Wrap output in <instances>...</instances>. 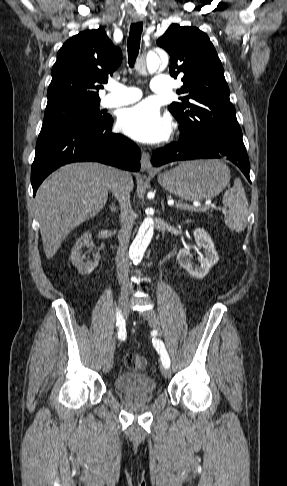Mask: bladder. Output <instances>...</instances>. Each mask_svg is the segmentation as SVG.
<instances>
[{"label": "bladder", "mask_w": 287, "mask_h": 486, "mask_svg": "<svg viewBox=\"0 0 287 486\" xmlns=\"http://www.w3.org/2000/svg\"><path fill=\"white\" fill-rule=\"evenodd\" d=\"M114 386L122 393L147 395L154 392L156 382L143 373H123L116 377Z\"/></svg>", "instance_id": "1"}]
</instances>
